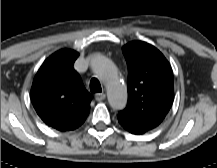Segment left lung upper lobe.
I'll list each match as a JSON object with an SVG mask.
<instances>
[{
	"label": "left lung upper lobe",
	"mask_w": 217,
	"mask_h": 168,
	"mask_svg": "<svg viewBox=\"0 0 217 168\" xmlns=\"http://www.w3.org/2000/svg\"><path fill=\"white\" fill-rule=\"evenodd\" d=\"M122 51L128 65V104L118 121L145 133L159 126L172 106L173 72L151 44L132 41Z\"/></svg>",
	"instance_id": "left-lung-upper-lobe-1"
}]
</instances>
